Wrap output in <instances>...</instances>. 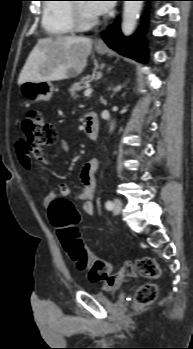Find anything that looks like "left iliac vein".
I'll use <instances>...</instances> for the list:
<instances>
[{
    "label": "left iliac vein",
    "mask_w": 193,
    "mask_h": 349,
    "mask_svg": "<svg viewBox=\"0 0 193 349\" xmlns=\"http://www.w3.org/2000/svg\"><path fill=\"white\" fill-rule=\"evenodd\" d=\"M122 209V202L119 199H114V207H113V212L115 214H119Z\"/></svg>",
    "instance_id": "1"
}]
</instances>
